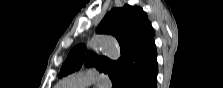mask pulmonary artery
<instances>
[{"mask_svg": "<svg viewBox=\"0 0 223 88\" xmlns=\"http://www.w3.org/2000/svg\"><path fill=\"white\" fill-rule=\"evenodd\" d=\"M90 84H97L100 87L106 88L110 82L106 75L93 70L79 71L73 73L59 82L60 87H85Z\"/></svg>", "mask_w": 223, "mask_h": 88, "instance_id": "pulmonary-artery-1", "label": "pulmonary artery"}]
</instances>
